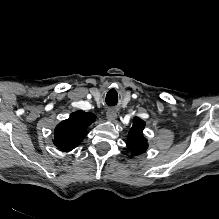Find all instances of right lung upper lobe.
<instances>
[{
  "label": "right lung upper lobe",
  "instance_id": "right-lung-upper-lobe-1",
  "mask_svg": "<svg viewBox=\"0 0 219 219\" xmlns=\"http://www.w3.org/2000/svg\"><path fill=\"white\" fill-rule=\"evenodd\" d=\"M95 121L93 113L76 111L69 119L59 123L54 131L53 142L63 152H69L77 147L87 135V127Z\"/></svg>",
  "mask_w": 219,
  "mask_h": 219
}]
</instances>
